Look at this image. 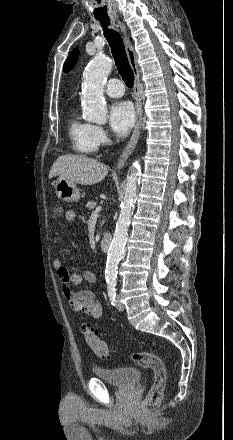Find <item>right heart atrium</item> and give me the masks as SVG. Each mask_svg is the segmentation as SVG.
I'll list each match as a JSON object with an SVG mask.
<instances>
[{
    "mask_svg": "<svg viewBox=\"0 0 233 440\" xmlns=\"http://www.w3.org/2000/svg\"><path fill=\"white\" fill-rule=\"evenodd\" d=\"M94 138L98 146H105L109 143L106 131L100 126H94Z\"/></svg>",
    "mask_w": 233,
    "mask_h": 440,
    "instance_id": "right-heart-atrium-1",
    "label": "right heart atrium"
}]
</instances>
